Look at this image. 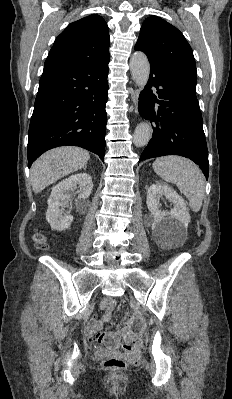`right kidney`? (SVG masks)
Segmentation results:
<instances>
[{
    "label": "right kidney",
    "instance_id": "ca27d5eb",
    "mask_svg": "<svg viewBox=\"0 0 232 399\" xmlns=\"http://www.w3.org/2000/svg\"><path fill=\"white\" fill-rule=\"evenodd\" d=\"M92 188V178L89 174L69 176L67 180L59 182L57 186L52 188L46 211V219L52 229L64 231L71 225V221H73V215H70L72 209L71 200H73L74 196H77L74 201L80 207L88 200ZM64 207H69V209L66 211Z\"/></svg>",
    "mask_w": 232,
    "mask_h": 399
}]
</instances>
